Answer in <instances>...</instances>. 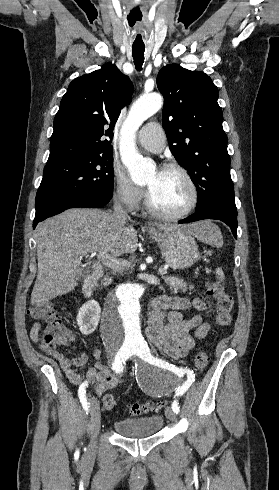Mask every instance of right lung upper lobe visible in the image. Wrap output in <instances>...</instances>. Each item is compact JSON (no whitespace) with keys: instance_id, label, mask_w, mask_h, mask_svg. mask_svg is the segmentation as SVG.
Wrapping results in <instances>:
<instances>
[{"instance_id":"right-lung-upper-lobe-1","label":"right lung upper lobe","mask_w":279,"mask_h":490,"mask_svg":"<svg viewBox=\"0 0 279 490\" xmlns=\"http://www.w3.org/2000/svg\"><path fill=\"white\" fill-rule=\"evenodd\" d=\"M133 90L129 77L111 63L74 79L54 119L48 162L113 149L104 137L112 139L120 110Z\"/></svg>"}]
</instances>
